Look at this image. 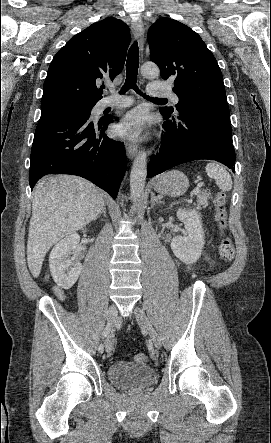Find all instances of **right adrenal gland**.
I'll list each match as a JSON object with an SVG mask.
<instances>
[{
	"instance_id": "2a0ac1e0",
	"label": "right adrenal gland",
	"mask_w": 271,
	"mask_h": 443,
	"mask_svg": "<svg viewBox=\"0 0 271 443\" xmlns=\"http://www.w3.org/2000/svg\"><path fill=\"white\" fill-rule=\"evenodd\" d=\"M102 214H103L104 218H107V216H106V206H105V204H104V206H103V208H102L100 214H98V216H96L95 220H98V218H100V216H102Z\"/></svg>"
}]
</instances>
